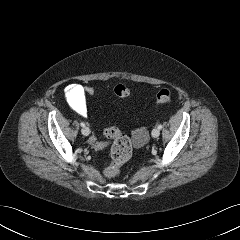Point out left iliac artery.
<instances>
[{"mask_svg": "<svg viewBox=\"0 0 240 240\" xmlns=\"http://www.w3.org/2000/svg\"><path fill=\"white\" fill-rule=\"evenodd\" d=\"M162 127H163V126H162L161 124L158 125V129H159V130H161Z\"/></svg>", "mask_w": 240, "mask_h": 240, "instance_id": "1", "label": "left iliac artery"}]
</instances>
